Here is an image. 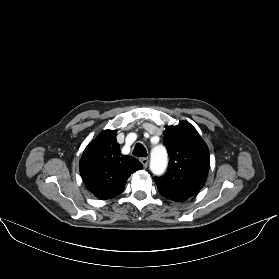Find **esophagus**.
<instances>
[{"label":"esophagus","instance_id":"1","mask_svg":"<svg viewBox=\"0 0 279 279\" xmlns=\"http://www.w3.org/2000/svg\"><path fill=\"white\" fill-rule=\"evenodd\" d=\"M140 161H141L143 167L146 168L148 166V162H149L148 158H141Z\"/></svg>","mask_w":279,"mask_h":279}]
</instances>
